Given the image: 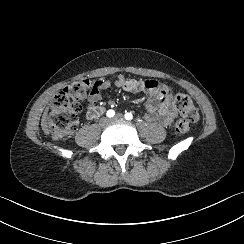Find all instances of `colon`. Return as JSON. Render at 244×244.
<instances>
[{
    "label": "colon",
    "instance_id": "colon-1",
    "mask_svg": "<svg viewBox=\"0 0 244 244\" xmlns=\"http://www.w3.org/2000/svg\"><path fill=\"white\" fill-rule=\"evenodd\" d=\"M90 88L91 84L88 79L79 78L69 83L54 96L47 116L54 140H65L77 129L81 112L79 101L88 94ZM173 101L180 111V118L175 124L174 133L180 137L189 130L192 124L198 121L199 113L192 99L186 94H175Z\"/></svg>",
    "mask_w": 244,
    "mask_h": 244
}]
</instances>
